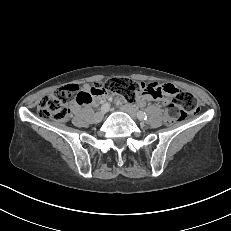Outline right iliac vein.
Instances as JSON below:
<instances>
[{
	"label": "right iliac vein",
	"instance_id": "63e3f726",
	"mask_svg": "<svg viewBox=\"0 0 231 231\" xmlns=\"http://www.w3.org/2000/svg\"><path fill=\"white\" fill-rule=\"evenodd\" d=\"M105 111H99V112H97L95 115H94V122H96V123H98V122H100L102 119H103V117H104V115H105Z\"/></svg>",
	"mask_w": 231,
	"mask_h": 231
}]
</instances>
